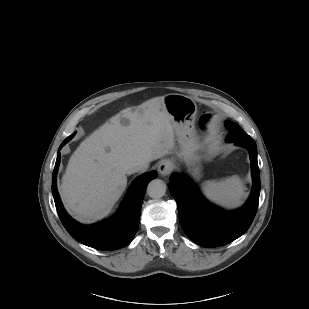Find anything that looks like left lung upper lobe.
Masks as SVG:
<instances>
[{"label": "left lung upper lobe", "instance_id": "obj_1", "mask_svg": "<svg viewBox=\"0 0 309 309\" xmlns=\"http://www.w3.org/2000/svg\"><path fill=\"white\" fill-rule=\"evenodd\" d=\"M227 130L229 131L226 140L230 141L232 138H247L250 137L245 131L240 129L237 125L227 121L225 123Z\"/></svg>", "mask_w": 309, "mask_h": 309}]
</instances>
